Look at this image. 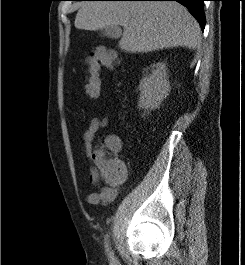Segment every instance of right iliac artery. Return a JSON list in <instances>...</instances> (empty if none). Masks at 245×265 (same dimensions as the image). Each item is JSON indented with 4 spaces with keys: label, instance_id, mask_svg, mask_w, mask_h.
<instances>
[{
    "label": "right iliac artery",
    "instance_id": "82829eb1",
    "mask_svg": "<svg viewBox=\"0 0 245 265\" xmlns=\"http://www.w3.org/2000/svg\"><path fill=\"white\" fill-rule=\"evenodd\" d=\"M105 247H106V251L108 253V256L113 260L114 259V254H113V252L110 251V247H109L108 241L105 242Z\"/></svg>",
    "mask_w": 245,
    "mask_h": 265
}]
</instances>
